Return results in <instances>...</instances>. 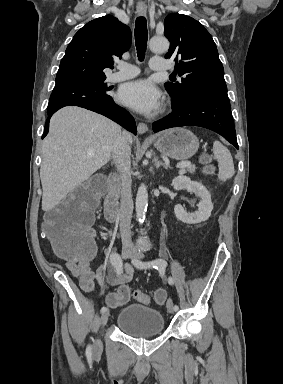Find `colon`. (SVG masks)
Returning <instances> with one entry per match:
<instances>
[{
  "label": "colon",
  "mask_w": 283,
  "mask_h": 384,
  "mask_svg": "<svg viewBox=\"0 0 283 384\" xmlns=\"http://www.w3.org/2000/svg\"><path fill=\"white\" fill-rule=\"evenodd\" d=\"M211 169L210 166L207 167L208 171ZM103 188V180L95 178L67 194L47 213L43 230L55 252L62 258L78 262L90 260L94 256L95 244L91 225L93 210ZM132 294L142 303H149L151 300L149 295L139 290L133 291ZM130 295V288L122 286L117 292L107 295V305L112 308L121 306L129 300ZM152 298L155 303L162 304L166 300V293L163 290H157Z\"/></svg>",
  "instance_id": "1"
}]
</instances>
